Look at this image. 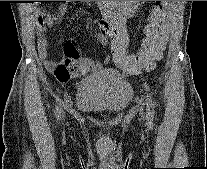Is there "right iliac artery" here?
<instances>
[{"label": "right iliac artery", "instance_id": "1", "mask_svg": "<svg viewBox=\"0 0 207 169\" xmlns=\"http://www.w3.org/2000/svg\"><path fill=\"white\" fill-rule=\"evenodd\" d=\"M56 111H57V113H58V116H57V117L59 118V117H60L61 109H60L59 107H57V108H56Z\"/></svg>", "mask_w": 207, "mask_h": 169}]
</instances>
